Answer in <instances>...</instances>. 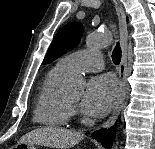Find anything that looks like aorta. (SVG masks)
<instances>
[{
	"instance_id": "obj_1",
	"label": "aorta",
	"mask_w": 155,
	"mask_h": 149,
	"mask_svg": "<svg viewBox=\"0 0 155 149\" xmlns=\"http://www.w3.org/2000/svg\"><path fill=\"white\" fill-rule=\"evenodd\" d=\"M112 41L108 32L89 33L86 37V46L88 49H98L109 45ZM83 81L81 79H71L66 83V89L72 93H79L83 89Z\"/></svg>"
}]
</instances>
